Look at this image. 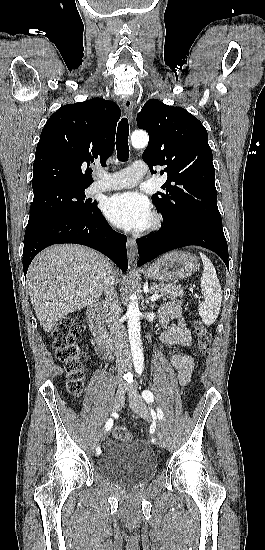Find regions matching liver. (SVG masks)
Segmentation results:
<instances>
[{"label": "liver", "mask_w": 265, "mask_h": 550, "mask_svg": "<svg viewBox=\"0 0 265 550\" xmlns=\"http://www.w3.org/2000/svg\"><path fill=\"white\" fill-rule=\"evenodd\" d=\"M113 265L101 253L76 244L53 245L32 261L27 282L44 331L64 316L97 302Z\"/></svg>", "instance_id": "1"}]
</instances>
